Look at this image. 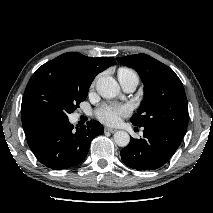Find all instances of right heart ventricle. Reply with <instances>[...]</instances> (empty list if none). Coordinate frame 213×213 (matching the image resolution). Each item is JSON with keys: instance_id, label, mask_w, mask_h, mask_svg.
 I'll list each match as a JSON object with an SVG mask.
<instances>
[{"instance_id": "right-heart-ventricle-1", "label": "right heart ventricle", "mask_w": 213, "mask_h": 213, "mask_svg": "<svg viewBox=\"0 0 213 213\" xmlns=\"http://www.w3.org/2000/svg\"><path fill=\"white\" fill-rule=\"evenodd\" d=\"M120 74H134V72L128 68H120L118 71V75Z\"/></svg>"}]
</instances>
